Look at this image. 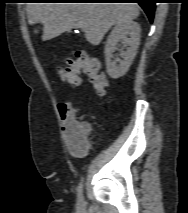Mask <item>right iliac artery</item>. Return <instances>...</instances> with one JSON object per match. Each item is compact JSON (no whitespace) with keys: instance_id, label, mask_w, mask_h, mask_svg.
Wrapping results in <instances>:
<instances>
[{"instance_id":"82829eb1","label":"right iliac artery","mask_w":188,"mask_h":213,"mask_svg":"<svg viewBox=\"0 0 188 213\" xmlns=\"http://www.w3.org/2000/svg\"><path fill=\"white\" fill-rule=\"evenodd\" d=\"M77 195H78V200L82 201L83 200V182H80L77 187Z\"/></svg>"}]
</instances>
